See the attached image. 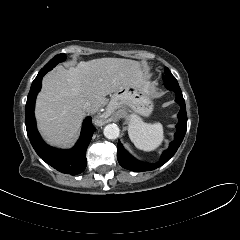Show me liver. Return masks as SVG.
I'll return each mask as SVG.
<instances>
[{
	"instance_id": "liver-1",
	"label": "liver",
	"mask_w": 240,
	"mask_h": 240,
	"mask_svg": "<svg viewBox=\"0 0 240 240\" xmlns=\"http://www.w3.org/2000/svg\"><path fill=\"white\" fill-rule=\"evenodd\" d=\"M127 86L148 87L139 62L100 58L65 69L57 66L43 78L36 100L38 129L51 145L66 146L77 135L90 102L95 113L106 96Z\"/></svg>"
}]
</instances>
